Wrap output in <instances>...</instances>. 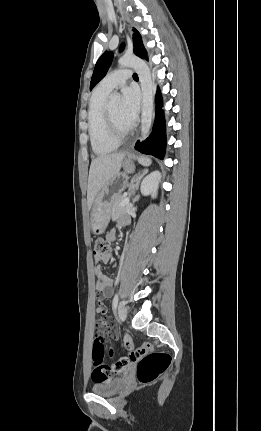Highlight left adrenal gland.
I'll list each match as a JSON object with an SVG mask.
<instances>
[{"label": "left adrenal gland", "instance_id": "left-adrenal-gland-1", "mask_svg": "<svg viewBox=\"0 0 261 431\" xmlns=\"http://www.w3.org/2000/svg\"><path fill=\"white\" fill-rule=\"evenodd\" d=\"M145 174H146V172H143L141 175L136 176V177L131 181V183H130V185H129V192H130V195H132V196H134V195H135V192H136V190H137V189H138V187H139L140 180H141V178H142ZM136 200H137V198H134L133 202H135Z\"/></svg>", "mask_w": 261, "mask_h": 431}]
</instances>
